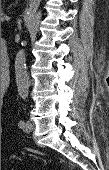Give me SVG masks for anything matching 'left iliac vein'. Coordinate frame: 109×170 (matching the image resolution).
I'll return each instance as SVG.
<instances>
[{
  "label": "left iliac vein",
  "instance_id": "left-iliac-vein-1",
  "mask_svg": "<svg viewBox=\"0 0 109 170\" xmlns=\"http://www.w3.org/2000/svg\"><path fill=\"white\" fill-rule=\"evenodd\" d=\"M24 132L30 133L33 130V124L31 121H27L23 127Z\"/></svg>",
  "mask_w": 109,
  "mask_h": 170
}]
</instances>
